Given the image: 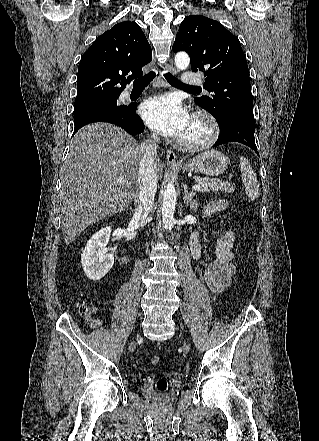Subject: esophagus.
I'll return each instance as SVG.
<instances>
[{"instance_id":"esophagus-1","label":"esophagus","mask_w":319,"mask_h":441,"mask_svg":"<svg viewBox=\"0 0 319 441\" xmlns=\"http://www.w3.org/2000/svg\"><path fill=\"white\" fill-rule=\"evenodd\" d=\"M166 70H167V72H169L171 74H176L177 73L176 68L171 63L166 65ZM166 159H167V163L170 164V165H177L178 164L177 156H176L175 152L173 150H171V149L167 150Z\"/></svg>"}]
</instances>
